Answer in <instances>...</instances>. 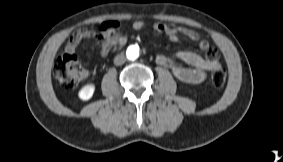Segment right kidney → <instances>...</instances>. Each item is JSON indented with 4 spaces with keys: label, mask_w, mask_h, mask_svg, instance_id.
<instances>
[{
    "label": "right kidney",
    "mask_w": 283,
    "mask_h": 162,
    "mask_svg": "<svg viewBox=\"0 0 283 162\" xmlns=\"http://www.w3.org/2000/svg\"><path fill=\"white\" fill-rule=\"evenodd\" d=\"M95 91V86L93 84L85 85L78 93V96L81 100H89Z\"/></svg>",
    "instance_id": "right-kidney-1"
}]
</instances>
